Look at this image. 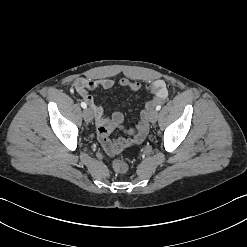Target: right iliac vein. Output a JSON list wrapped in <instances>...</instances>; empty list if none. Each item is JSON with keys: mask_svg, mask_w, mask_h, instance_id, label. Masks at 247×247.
<instances>
[{"mask_svg": "<svg viewBox=\"0 0 247 247\" xmlns=\"http://www.w3.org/2000/svg\"><path fill=\"white\" fill-rule=\"evenodd\" d=\"M83 118L86 122H91L93 119V112L90 108H86L83 111Z\"/></svg>", "mask_w": 247, "mask_h": 247, "instance_id": "63e3f726", "label": "right iliac vein"}]
</instances>
